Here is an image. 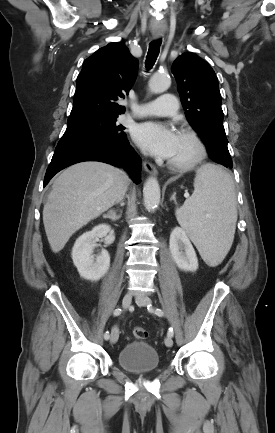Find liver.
<instances>
[{
	"label": "liver",
	"instance_id": "1",
	"mask_svg": "<svg viewBox=\"0 0 275 433\" xmlns=\"http://www.w3.org/2000/svg\"><path fill=\"white\" fill-rule=\"evenodd\" d=\"M127 186L126 174L106 163L86 161L65 169L43 209L51 250L61 251L77 230L119 202Z\"/></svg>",
	"mask_w": 275,
	"mask_h": 433
}]
</instances>
